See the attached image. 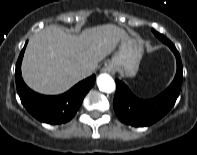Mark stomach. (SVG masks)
<instances>
[{
	"instance_id": "1",
	"label": "stomach",
	"mask_w": 197,
	"mask_h": 155,
	"mask_svg": "<svg viewBox=\"0 0 197 155\" xmlns=\"http://www.w3.org/2000/svg\"><path fill=\"white\" fill-rule=\"evenodd\" d=\"M143 55V48L139 43L126 38L121 41L118 52L115 53L108 67H112L123 76H135L140 60Z\"/></svg>"
}]
</instances>
